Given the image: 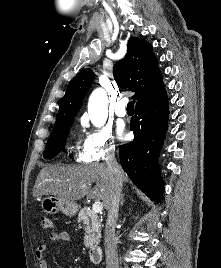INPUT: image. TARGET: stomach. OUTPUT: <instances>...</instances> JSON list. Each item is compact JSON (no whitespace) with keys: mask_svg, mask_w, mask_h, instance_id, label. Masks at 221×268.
<instances>
[{"mask_svg":"<svg viewBox=\"0 0 221 268\" xmlns=\"http://www.w3.org/2000/svg\"><path fill=\"white\" fill-rule=\"evenodd\" d=\"M40 206L47 214L62 212L66 216L72 217L78 211V205L72 201H66L56 196L42 198Z\"/></svg>","mask_w":221,"mask_h":268,"instance_id":"stomach-1","label":"stomach"}]
</instances>
